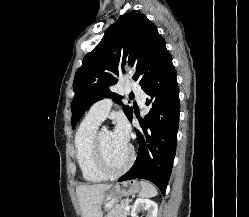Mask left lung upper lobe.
I'll list each match as a JSON object with an SVG mask.
<instances>
[{
  "label": "left lung upper lobe",
  "mask_w": 249,
  "mask_h": 217,
  "mask_svg": "<svg viewBox=\"0 0 249 217\" xmlns=\"http://www.w3.org/2000/svg\"><path fill=\"white\" fill-rule=\"evenodd\" d=\"M169 55L164 39L144 14L131 12L120 16L94 50L85 55L75 74L72 128L93 103L105 97L122 105V97L109 90L117 83L120 62L136 66L133 79L137 81L142 75L139 85L144 90ZM123 110L131 120L133 108L123 105Z\"/></svg>",
  "instance_id": "5c2ea615"
}]
</instances>
